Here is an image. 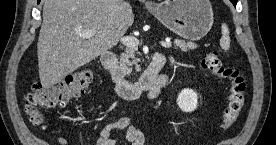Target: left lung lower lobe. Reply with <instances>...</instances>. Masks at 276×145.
Returning a JSON list of instances; mask_svg holds the SVG:
<instances>
[{
	"mask_svg": "<svg viewBox=\"0 0 276 145\" xmlns=\"http://www.w3.org/2000/svg\"><path fill=\"white\" fill-rule=\"evenodd\" d=\"M234 6H236L237 0H230Z\"/></svg>",
	"mask_w": 276,
	"mask_h": 145,
	"instance_id": "1",
	"label": "left lung lower lobe"
}]
</instances>
